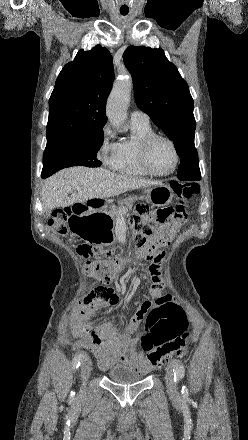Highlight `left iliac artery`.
Wrapping results in <instances>:
<instances>
[{
  "mask_svg": "<svg viewBox=\"0 0 248 440\" xmlns=\"http://www.w3.org/2000/svg\"><path fill=\"white\" fill-rule=\"evenodd\" d=\"M173 373H174V381L176 383H178L179 380L184 375V369H183L182 365L179 363V361H177V360H175L173 362ZM182 394H183V397H185V398H187L189 395L188 388L185 385L182 387Z\"/></svg>",
  "mask_w": 248,
  "mask_h": 440,
  "instance_id": "44dca946",
  "label": "left iliac artery"
}]
</instances>
